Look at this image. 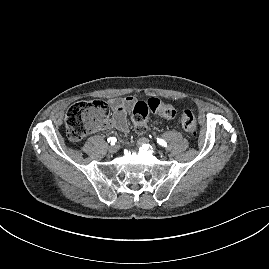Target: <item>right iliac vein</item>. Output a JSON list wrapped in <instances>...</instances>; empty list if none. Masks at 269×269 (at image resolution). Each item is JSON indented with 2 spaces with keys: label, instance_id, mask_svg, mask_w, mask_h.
Returning a JSON list of instances; mask_svg holds the SVG:
<instances>
[{
  "label": "right iliac vein",
  "instance_id": "63e3f726",
  "mask_svg": "<svg viewBox=\"0 0 269 269\" xmlns=\"http://www.w3.org/2000/svg\"><path fill=\"white\" fill-rule=\"evenodd\" d=\"M117 150H118V147L115 145H110L109 147H108V151L110 152V153H116L117 152Z\"/></svg>",
  "mask_w": 269,
  "mask_h": 269
}]
</instances>
